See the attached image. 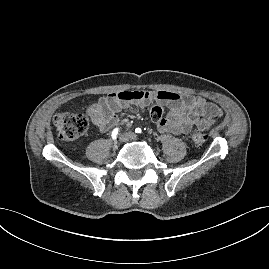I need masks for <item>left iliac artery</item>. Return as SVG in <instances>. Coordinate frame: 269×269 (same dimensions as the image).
Segmentation results:
<instances>
[{
  "label": "left iliac artery",
  "instance_id": "1",
  "mask_svg": "<svg viewBox=\"0 0 269 269\" xmlns=\"http://www.w3.org/2000/svg\"><path fill=\"white\" fill-rule=\"evenodd\" d=\"M135 132H136L137 134H140V133L142 132V129H141V128H136V129H135Z\"/></svg>",
  "mask_w": 269,
  "mask_h": 269
}]
</instances>
